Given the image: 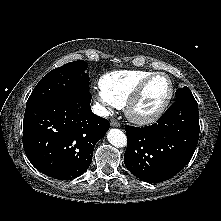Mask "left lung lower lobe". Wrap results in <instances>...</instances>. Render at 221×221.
Instances as JSON below:
<instances>
[{
	"instance_id": "0a47b994",
	"label": "left lung lower lobe",
	"mask_w": 221,
	"mask_h": 221,
	"mask_svg": "<svg viewBox=\"0 0 221 221\" xmlns=\"http://www.w3.org/2000/svg\"><path fill=\"white\" fill-rule=\"evenodd\" d=\"M125 131L127 169L146 182L164 181L194 154L199 138L198 104L194 98L179 99L157 123L143 128L126 126Z\"/></svg>"
}]
</instances>
